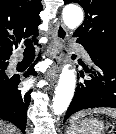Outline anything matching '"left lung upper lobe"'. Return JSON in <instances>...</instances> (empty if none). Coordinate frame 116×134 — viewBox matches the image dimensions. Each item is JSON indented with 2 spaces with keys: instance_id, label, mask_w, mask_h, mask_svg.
Here are the masks:
<instances>
[{
  "instance_id": "5c2ea615",
  "label": "left lung upper lobe",
  "mask_w": 116,
  "mask_h": 134,
  "mask_svg": "<svg viewBox=\"0 0 116 134\" xmlns=\"http://www.w3.org/2000/svg\"><path fill=\"white\" fill-rule=\"evenodd\" d=\"M76 2L85 12L83 24L73 37L95 51L116 54V0H64Z\"/></svg>"
}]
</instances>
